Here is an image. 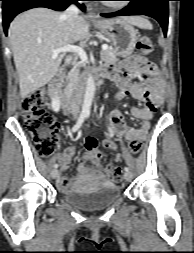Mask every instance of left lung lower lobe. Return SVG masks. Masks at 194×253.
<instances>
[{"instance_id":"obj_1","label":"left lung lower lobe","mask_w":194,"mask_h":253,"mask_svg":"<svg viewBox=\"0 0 194 253\" xmlns=\"http://www.w3.org/2000/svg\"><path fill=\"white\" fill-rule=\"evenodd\" d=\"M130 4L120 11L103 13V17L121 15H147L156 19L162 26L164 35L167 34L168 25V1L171 0H127Z\"/></svg>"}]
</instances>
